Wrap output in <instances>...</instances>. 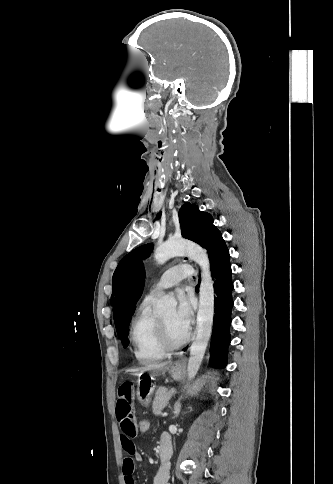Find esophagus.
<instances>
[{
  "label": "esophagus",
  "instance_id": "obj_1",
  "mask_svg": "<svg viewBox=\"0 0 333 484\" xmlns=\"http://www.w3.org/2000/svg\"><path fill=\"white\" fill-rule=\"evenodd\" d=\"M181 364H183V362H182V361H178V362H177V365H181Z\"/></svg>",
  "mask_w": 333,
  "mask_h": 484
}]
</instances>
